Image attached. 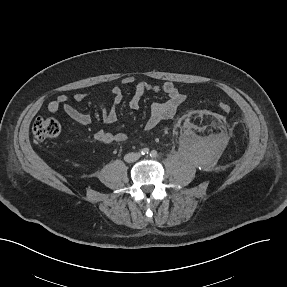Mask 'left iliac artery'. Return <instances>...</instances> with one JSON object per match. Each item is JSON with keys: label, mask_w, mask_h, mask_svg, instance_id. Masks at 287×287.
Here are the masks:
<instances>
[{"label": "left iliac artery", "mask_w": 287, "mask_h": 287, "mask_svg": "<svg viewBox=\"0 0 287 287\" xmlns=\"http://www.w3.org/2000/svg\"><path fill=\"white\" fill-rule=\"evenodd\" d=\"M158 156L157 151L156 150H152L150 153V157L151 158H156Z\"/></svg>", "instance_id": "left-iliac-artery-1"}]
</instances>
